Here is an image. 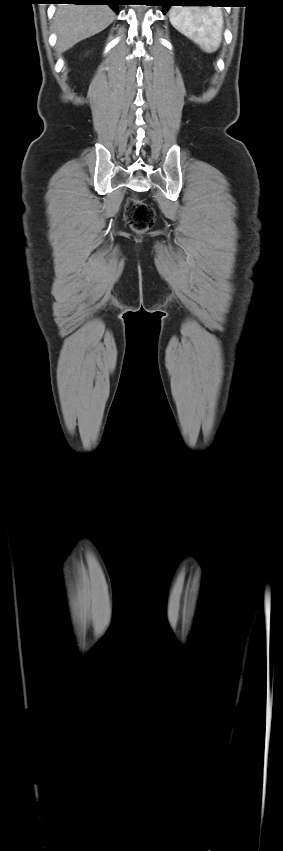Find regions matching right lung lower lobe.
Here are the masks:
<instances>
[{
  "label": "right lung lower lobe",
  "instance_id": "1",
  "mask_svg": "<svg viewBox=\"0 0 283 851\" xmlns=\"http://www.w3.org/2000/svg\"><path fill=\"white\" fill-rule=\"evenodd\" d=\"M121 0H50V3H66L75 5H109L115 12Z\"/></svg>",
  "mask_w": 283,
  "mask_h": 851
}]
</instances>
